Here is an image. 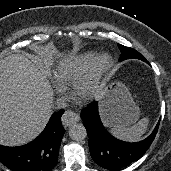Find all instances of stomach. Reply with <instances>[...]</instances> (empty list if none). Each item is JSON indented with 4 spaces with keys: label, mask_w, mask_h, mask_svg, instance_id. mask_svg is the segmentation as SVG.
I'll list each match as a JSON object with an SVG mask.
<instances>
[{
    "label": "stomach",
    "mask_w": 171,
    "mask_h": 171,
    "mask_svg": "<svg viewBox=\"0 0 171 171\" xmlns=\"http://www.w3.org/2000/svg\"><path fill=\"white\" fill-rule=\"evenodd\" d=\"M102 116L110 127H127L134 124L140 116V110L126 88L120 82H112L105 92Z\"/></svg>",
    "instance_id": "stomach-1"
}]
</instances>
